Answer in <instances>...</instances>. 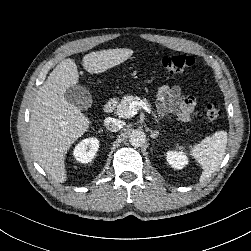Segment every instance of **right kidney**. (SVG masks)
<instances>
[{"mask_svg":"<svg viewBox=\"0 0 251 251\" xmlns=\"http://www.w3.org/2000/svg\"><path fill=\"white\" fill-rule=\"evenodd\" d=\"M99 148V141L96 138H86L78 143L73 151L77 161L81 163L91 162Z\"/></svg>","mask_w":251,"mask_h":251,"instance_id":"ca27d5eb","label":"right kidney"}]
</instances>
